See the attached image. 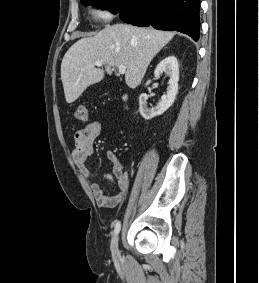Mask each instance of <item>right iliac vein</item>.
<instances>
[{"label": "right iliac vein", "instance_id": "1", "mask_svg": "<svg viewBox=\"0 0 259 283\" xmlns=\"http://www.w3.org/2000/svg\"><path fill=\"white\" fill-rule=\"evenodd\" d=\"M118 240H119V236H116L111 242V252L115 260H117L120 256V252L118 249Z\"/></svg>", "mask_w": 259, "mask_h": 283}]
</instances>
